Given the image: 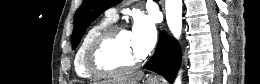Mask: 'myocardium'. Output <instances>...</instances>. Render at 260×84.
<instances>
[{
	"mask_svg": "<svg viewBox=\"0 0 260 84\" xmlns=\"http://www.w3.org/2000/svg\"><path fill=\"white\" fill-rule=\"evenodd\" d=\"M122 30L120 26L110 25L93 39L87 55V69L91 74L97 77H117L135 71L142 64L144 57L128 66H119L108 60L110 45Z\"/></svg>",
	"mask_w": 260,
	"mask_h": 84,
	"instance_id": "1",
	"label": "myocardium"
}]
</instances>
